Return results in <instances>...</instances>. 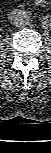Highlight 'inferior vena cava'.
I'll return each instance as SVG.
<instances>
[{
  "label": "inferior vena cava",
  "mask_w": 51,
  "mask_h": 153,
  "mask_svg": "<svg viewBox=\"0 0 51 153\" xmlns=\"http://www.w3.org/2000/svg\"><path fill=\"white\" fill-rule=\"evenodd\" d=\"M29 17L24 15V14H20V15H17L14 20H13V23L14 25L16 26H20V27H23V26H26L29 24Z\"/></svg>",
  "instance_id": "inferior-vena-cava-1"
}]
</instances>
